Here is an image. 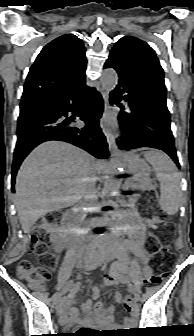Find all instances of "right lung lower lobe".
Returning a JSON list of instances; mask_svg holds the SVG:
<instances>
[{
	"label": "right lung lower lobe",
	"instance_id": "right-lung-lower-lobe-1",
	"mask_svg": "<svg viewBox=\"0 0 194 336\" xmlns=\"http://www.w3.org/2000/svg\"><path fill=\"white\" fill-rule=\"evenodd\" d=\"M73 112L85 123L77 127ZM103 112L101 95L85 84V78L59 95L20 108L17 143L12 167V191L20 164L30 151L42 142L59 140L74 144L95 156H109L106 138L99 127Z\"/></svg>",
	"mask_w": 194,
	"mask_h": 336
}]
</instances>
